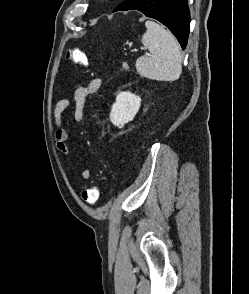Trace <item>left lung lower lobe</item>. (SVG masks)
Returning <instances> with one entry per match:
<instances>
[{
	"mask_svg": "<svg viewBox=\"0 0 249 294\" xmlns=\"http://www.w3.org/2000/svg\"><path fill=\"white\" fill-rule=\"evenodd\" d=\"M136 9L167 26L185 49L190 25L187 0H125L113 12Z\"/></svg>",
	"mask_w": 249,
	"mask_h": 294,
	"instance_id": "1",
	"label": "left lung lower lobe"
}]
</instances>
